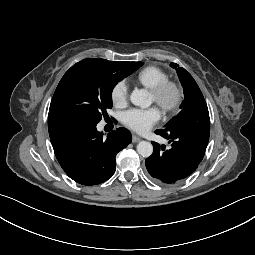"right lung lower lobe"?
Segmentation results:
<instances>
[{
  "label": "right lung lower lobe",
  "instance_id": "1",
  "mask_svg": "<svg viewBox=\"0 0 255 255\" xmlns=\"http://www.w3.org/2000/svg\"><path fill=\"white\" fill-rule=\"evenodd\" d=\"M97 123L59 118L48 120L54 153L65 173L79 184L91 186L108 180L116 170V154L131 143V134L118 128L103 139Z\"/></svg>",
  "mask_w": 255,
  "mask_h": 255
}]
</instances>
